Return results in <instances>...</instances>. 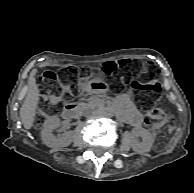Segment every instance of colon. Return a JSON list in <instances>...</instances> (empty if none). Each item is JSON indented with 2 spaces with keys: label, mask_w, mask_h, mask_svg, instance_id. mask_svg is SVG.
<instances>
[{
  "label": "colon",
  "mask_w": 194,
  "mask_h": 193,
  "mask_svg": "<svg viewBox=\"0 0 194 193\" xmlns=\"http://www.w3.org/2000/svg\"><path fill=\"white\" fill-rule=\"evenodd\" d=\"M100 71L111 77L123 73L124 79L130 82L141 109L148 111L149 117L155 125L158 134L157 147H165L173 138L176 127L171 116L163 109L155 107L160 99L159 84L150 80L156 77L155 68L138 61L119 60L105 62ZM76 72L75 69L66 67L59 72L49 71L41 76L42 100L40 110L35 117L36 126H41L48 115L58 111L68 99L70 92L74 91L71 84ZM113 88L120 91L121 85L114 83Z\"/></svg>",
  "instance_id": "1"
}]
</instances>
